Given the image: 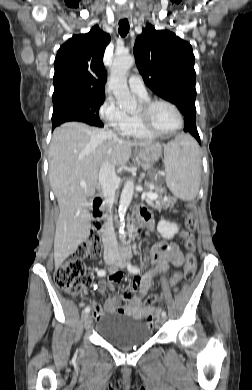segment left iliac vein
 Wrapping results in <instances>:
<instances>
[{
    "instance_id": "1",
    "label": "left iliac vein",
    "mask_w": 252,
    "mask_h": 390,
    "mask_svg": "<svg viewBox=\"0 0 252 390\" xmlns=\"http://www.w3.org/2000/svg\"><path fill=\"white\" fill-rule=\"evenodd\" d=\"M115 265L124 268L126 266V261H125V255L124 253H121L119 256H117ZM111 272H114V269L111 270ZM158 321L163 323L165 321V317L160 315V312L158 311Z\"/></svg>"
}]
</instances>
